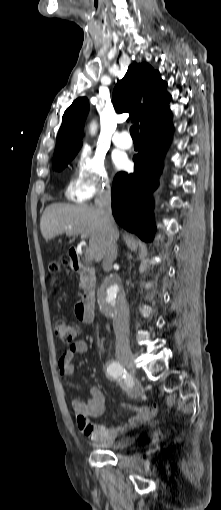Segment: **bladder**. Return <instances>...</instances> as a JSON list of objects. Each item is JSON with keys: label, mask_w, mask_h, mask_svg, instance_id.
I'll return each mask as SVG.
<instances>
[{"label": "bladder", "mask_w": 221, "mask_h": 510, "mask_svg": "<svg viewBox=\"0 0 221 510\" xmlns=\"http://www.w3.org/2000/svg\"><path fill=\"white\" fill-rule=\"evenodd\" d=\"M134 443L133 437H122L109 442L99 443L97 446L102 449H107L112 452L122 451Z\"/></svg>", "instance_id": "obj_1"}]
</instances>
